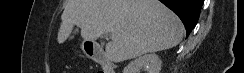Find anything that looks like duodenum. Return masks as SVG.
Listing matches in <instances>:
<instances>
[{"instance_id": "1", "label": "duodenum", "mask_w": 244, "mask_h": 73, "mask_svg": "<svg viewBox=\"0 0 244 73\" xmlns=\"http://www.w3.org/2000/svg\"><path fill=\"white\" fill-rule=\"evenodd\" d=\"M85 51L94 62L100 65V73H114L112 62L106 52L99 45L86 42Z\"/></svg>"}]
</instances>
